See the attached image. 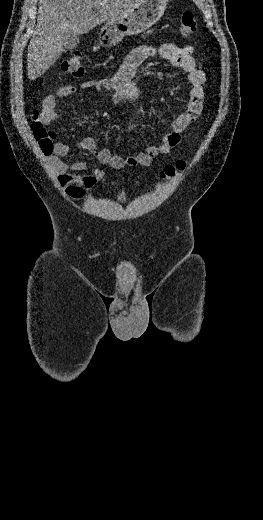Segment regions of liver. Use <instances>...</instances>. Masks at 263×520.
Instances as JSON below:
<instances>
[{
  "label": "liver",
  "mask_w": 263,
  "mask_h": 520,
  "mask_svg": "<svg viewBox=\"0 0 263 520\" xmlns=\"http://www.w3.org/2000/svg\"><path fill=\"white\" fill-rule=\"evenodd\" d=\"M141 2L143 0H40L37 26L28 45V78L40 77L56 62L63 52L65 33H88Z\"/></svg>",
  "instance_id": "6515ba94"
}]
</instances>
